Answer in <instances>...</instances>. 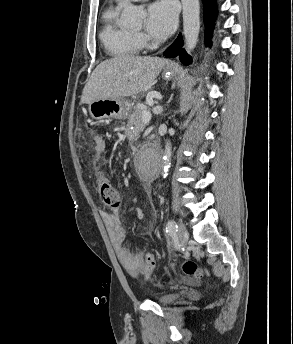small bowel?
<instances>
[{
	"label": "small bowel",
	"instance_id": "1",
	"mask_svg": "<svg viewBox=\"0 0 293 344\" xmlns=\"http://www.w3.org/2000/svg\"><path fill=\"white\" fill-rule=\"evenodd\" d=\"M94 148L98 153H102L105 148L104 141L101 138H96ZM102 217L118 260L125 269L133 273L137 272L143 264L142 253H133L124 245L126 232L122 226L120 210L114 209L111 212H103ZM154 223L155 220L153 219L145 226L147 232L151 231Z\"/></svg>",
	"mask_w": 293,
	"mask_h": 344
}]
</instances>
